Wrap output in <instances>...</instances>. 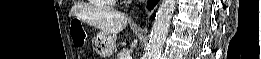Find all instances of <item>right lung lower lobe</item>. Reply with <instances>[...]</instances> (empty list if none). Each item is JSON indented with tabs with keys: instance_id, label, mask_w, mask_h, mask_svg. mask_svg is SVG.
<instances>
[{
	"instance_id": "1",
	"label": "right lung lower lobe",
	"mask_w": 261,
	"mask_h": 59,
	"mask_svg": "<svg viewBox=\"0 0 261 59\" xmlns=\"http://www.w3.org/2000/svg\"><path fill=\"white\" fill-rule=\"evenodd\" d=\"M157 2H158V0H149V3H148L149 9L153 8Z\"/></svg>"
}]
</instances>
